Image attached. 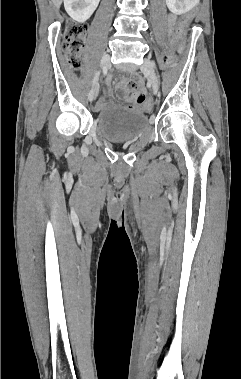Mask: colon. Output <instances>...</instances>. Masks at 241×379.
I'll return each instance as SVG.
<instances>
[{"mask_svg":"<svg viewBox=\"0 0 241 379\" xmlns=\"http://www.w3.org/2000/svg\"><path fill=\"white\" fill-rule=\"evenodd\" d=\"M198 14L197 8H190L189 13H183L181 23H174L173 30L167 37V42L170 43L166 46L160 47V53L156 54L155 62L161 65H171L176 67L175 57L173 54L176 52V47L185 38L183 30H190L191 25L194 24L195 15ZM183 29V30H182ZM88 27L84 23H71L67 26L64 34L62 35V48L64 57L70 67L78 68L80 65V56L85 47V37ZM143 109H152L151 98H142Z\"/></svg>","mask_w":241,"mask_h":379,"instance_id":"colon-1","label":"colon"}]
</instances>
